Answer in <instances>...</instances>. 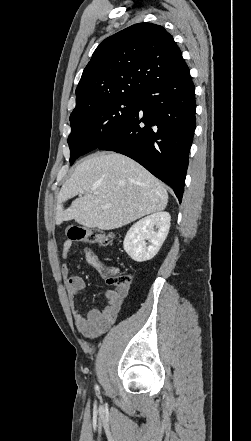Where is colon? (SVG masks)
Returning <instances> with one entry per match:
<instances>
[{
	"instance_id": "5ec220e1",
	"label": "colon",
	"mask_w": 251,
	"mask_h": 441,
	"mask_svg": "<svg viewBox=\"0 0 251 441\" xmlns=\"http://www.w3.org/2000/svg\"><path fill=\"white\" fill-rule=\"evenodd\" d=\"M66 237L69 241L84 242L89 245L107 246L112 244L114 236L102 230L91 229L78 224H71L66 228ZM102 277L109 285L115 287H128L131 277L121 273L117 268L105 269Z\"/></svg>"
}]
</instances>
